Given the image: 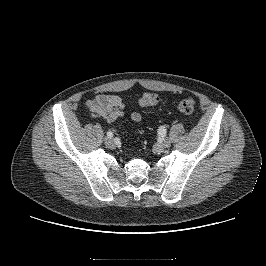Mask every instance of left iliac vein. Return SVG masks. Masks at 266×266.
<instances>
[{"instance_id":"obj_1","label":"left iliac vein","mask_w":266,"mask_h":266,"mask_svg":"<svg viewBox=\"0 0 266 266\" xmlns=\"http://www.w3.org/2000/svg\"><path fill=\"white\" fill-rule=\"evenodd\" d=\"M160 145L162 148H168L171 145V141L168 138H163Z\"/></svg>"}]
</instances>
